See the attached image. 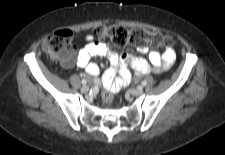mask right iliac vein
Wrapping results in <instances>:
<instances>
[{
  "instance_id": "63e3f726",
  "label": "right iliac vein",
  "mask_w": 225,
  "mask_h": 155,
  "mask_svg": "<svg viewBox=\"0 0 225 155\" xmlns=\"http://www.w3.org/2000/svg\"><path fill=\"white\" fill-rule=\"evenodd\" d=\"M88 91H89V87L86 85L81 88L82 93H87Z\"/></svg>"
}]
</instances>
